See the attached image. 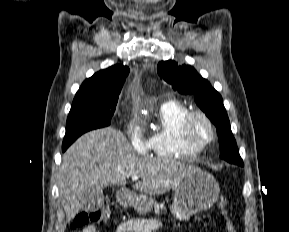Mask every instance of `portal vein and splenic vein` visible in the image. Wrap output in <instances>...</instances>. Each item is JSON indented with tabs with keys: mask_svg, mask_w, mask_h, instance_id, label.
Masks as SVG:
<instances>
[{
	"mask_svg": "<svg viewBox=\"0 0 289 232\" xmlns=\"http://www.w3.org/2000/svg\"><path fill=\"white\" fill-rule=\"evenodd\" d=\"M138 179H139L138 176H136V175L132 176V180H133V181H138Z\"/></svg>",
	"mask_w": 289,
	"mask_h": 232,
	"instance_id": "18ae733b",
	"label": "portal vein and splenic vein"
}]
</instances>
